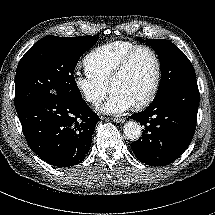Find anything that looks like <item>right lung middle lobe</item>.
<instances>
[{"label": "right lung middle lobe", "mask_w": 215, "mask_h": 215, "mask_svg": "<svg viewBox=\"0 0 215 215\" xmlns=\"http://www.w3.org/2000/svg\"><path fill=\"white\" fill-rule=\"evenodd\" d=\"M97 41L96 36L52 35L37 41L17 66L15 108L42 96L82 99L74 69L80 57Z\"/></svg>", "instance_id": "dd1d6c3e"}]
</instances>
